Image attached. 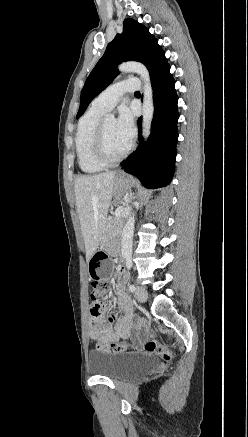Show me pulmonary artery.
Masks as SVG:
<instances>
[{"label": "pulmonary artery", "instance_id": "e3ab8cb5", "mask_svg": "<svg viewBox=\"0 0 248 437\" xmlns=\"http://www.w3.org/2000/svg\"><path fill=\"white\" fill-rule=\"evenodd\" d=\"M139 88L140 80L137 77L118 81L101 92L93 100L92 106L105 112L110 111L125 93L134 92Z\"/></svg>", "mask_w": 248, "mask_h": 437}]
</instances>
